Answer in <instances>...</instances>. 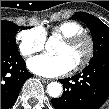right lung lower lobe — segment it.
<instances>
[{"label": "right lung lower lobe", "mask_w": 109, "mask_h": 109, "mask_svg": "<svg viewBox=\"0 0 109 109\" xmlns=\"http://www.w3.org/2000/svg\"><path fill=\"white\" fill-rule=\"evenodd\" d=\"M32 76L19 53L1 51V109L14 104L22 85Z\"/></svg>", "instance_id": "right-lung-lower-lobe-1"}]
</instances>
